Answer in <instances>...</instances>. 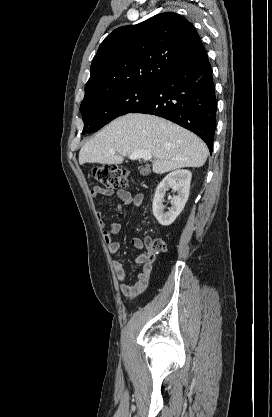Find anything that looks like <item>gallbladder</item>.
<instances>
[{
    "label": "gallbladder",
    "instance_id": "1",
    "mask_svg": "<svg viewBox=\"0 0 272 417\" xmlns=\"http://www.w3.org/2000/svg\"><path fill=\"white\" fill-rule=\"evenodd\" d=\"M140 173H141L142 175H147V174H149V173H150V169H149V168H147V167H141V168H140Z\"/></svg>",
    "mask_w": 272,
    "mask_h": 417
}]
</instances>
